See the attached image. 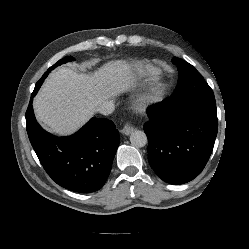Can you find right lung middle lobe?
<instances>
[{
    "label": "right lung middle lobe",
    "instance_id": "obj_1",
    "mask_svg": "<svg viewBox=\"0 0 249 249\" xmlns=\"http://www.w3.org/2000/svg\"><path fill=\"white\" fill-rule=\"evenodd\" d=\"M74 60L75 59L73 57H71V56H66L65 58L59 60L55 65H53L52 67H50L47 72L44 73V75L42 76V78L40 80L44 81V79L47 77L48 73L51 70H53L56 66L61 65V64L66 63V62H69V61H74Z\"/></svg>",
    "mask_w": 249,
    "mask_h": 249
}]
</instances>
